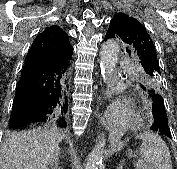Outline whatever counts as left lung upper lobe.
Instances as JSON below:
<instances>
[{"label": "left lung upper lobe", "mask_w": 177, "mask_h": 169, "mask_svg": "<svg viewBox=\"0 0 177 169\" xmlns=\"http://www.w3.org/2000/svg\"><path fill=\"white\" fill-rule=\"evenodd\" d=\"M109 38L122 41L129 56L141 66L145 86L160 92L161 71L154 43L145 27L135 18L117 13L110 21L105 40Z\"/></svg>", "instance_id": "left-lung-upper-lobe-1"}]
</instances>
